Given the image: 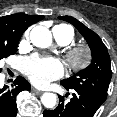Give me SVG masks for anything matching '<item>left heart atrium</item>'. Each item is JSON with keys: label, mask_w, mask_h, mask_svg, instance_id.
Masks as SVG:
<instances>
[{"label": "left heart atrium", "mask_w": 117, "mask_h": 117, "mask_svg": "<svg viewBox=\"0 0 117 117\" xmlns=\"http://www.w3.org/2000/svg\"><path fill=\"white\" fill-rule=\"evenodd\" d=\"M23 71L37 86H45L64 74L62 63L56 58L32 56L23 61Z\"/></svg>", "instance_id": "obj_1"}]
</instances>
